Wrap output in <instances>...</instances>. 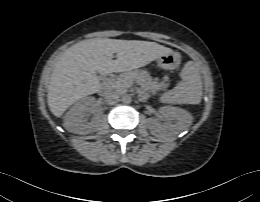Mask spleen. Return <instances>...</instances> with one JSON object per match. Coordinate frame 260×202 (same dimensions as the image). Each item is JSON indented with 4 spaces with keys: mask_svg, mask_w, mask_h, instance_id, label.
<instances>
[{
    "mask_svg": "<svg viewBox=\"0 0 260 202\" xmlns=\"http://www.w3.org/2000/svg\"><path fill=\"white\" fill-rule=\"evenodd\" d=\"M182 81L165 93L161 101L169 104H198L202 98V82L197 66L189 61L181 71Z\"/></svg>",
    "mask_w": 260,
    "mask_h": 202,
    "instance_id": "spleen-1",
    "label": "spleen"
}]
</instances>
